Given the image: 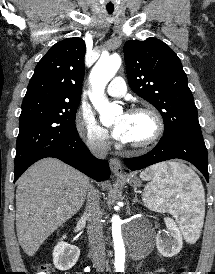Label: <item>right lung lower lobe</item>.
Here are the masks:
<instances>
[{
  "label": "right lung lower lobe",
  "mask_w": 215,
  "mask_h": 274,
  "mask_svg": "<svg viewBox=\"0 0 215 274\" xmlns=\"http://www.w3.org/2000/svg\"><path fill=\"white\" fill-rule=\"evenodd\" d=\"M46 157L60 159L97 181L107 180L110 177V168L107 161L96 159L80 137L76 136L41 149L23 164L15 167L14 181L17 180L29 166Z\"/></svg>",
  "instance_id": "98d812e1"
}]
</instances>
